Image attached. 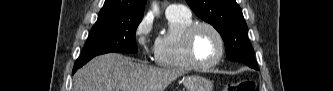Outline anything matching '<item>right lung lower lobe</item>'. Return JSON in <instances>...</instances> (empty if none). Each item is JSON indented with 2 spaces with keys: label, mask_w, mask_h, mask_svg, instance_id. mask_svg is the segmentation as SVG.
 Segmentation results:
<instances>
[{
  "label": "right lung lower lobe",
  "mask_w": 333,
  "mask_h": 91,
  "mask_svg": "<svg viewBox=\"0 0 333 91\" xmlns=\"http://www.w3.org/2000/svg\"><path fill=\"white\" fill-rule=\"evenodd\" d=\"M93 57H86V58H84V57H80V58H78L77 59V61H76V63H75V66H74V68H73V74L75 73V71L78 69V68H80V67H82L84 64H86L90 59H92Z\"/></svg>",
  "instance_id": "right-lung-lower-lobe-1"
}]
</instances>
